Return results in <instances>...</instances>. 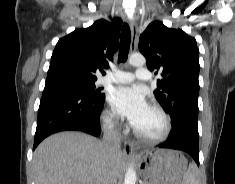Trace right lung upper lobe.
Segmentation results:
<instances>
[{"label":"right lung upper lobe","instance_id":"obj_1","mask_svg":"<svg viewBox=\"0 0 235 184\" xmlns=\"http://www.w3.org/2000/svg\"><path fill=\"white\" fill-rule=\"evenodd\" d=\"M121 24L120 18L112 22L100 19L61 38L53 51L45 85L66 77L95 82L97 70L109 68L108 61L118 49Z\"/></svg>","mask_w":235,"mask_h":184}]
</instances>
